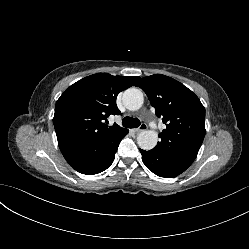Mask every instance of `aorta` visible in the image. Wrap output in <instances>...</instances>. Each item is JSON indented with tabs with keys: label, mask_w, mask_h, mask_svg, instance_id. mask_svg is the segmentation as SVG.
Returning <instances> with one entry per match:
<instances>
[{
	"label": "aorta",
	"mask_w": 249,
	"mask_h": 249,
	"mask_svg": "<svg viewBox=\"0 0 249 249\" xmlns=\"http://www.w3.org/2000/svg\"><path fill=\"white\" fill-rule=\"evenodd\" d=\"M144 102L141 90L129 88L123 94V103L127 109L136 111L140 109ZM158 142V134L155 131L147 130L141 132L137 137V144L143 150L153 149Z\"/></svg>",
	"instance_id": "obj_1"
}]
</instances>
